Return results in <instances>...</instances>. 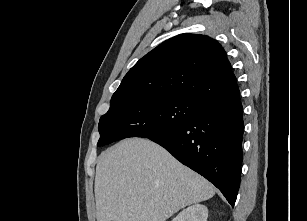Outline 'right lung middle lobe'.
<instances>
[{
	"label": "right lung middle lobe",
	"mask_w": 307,
	"mask_h": 221,
	"mask_svg": "<svg viewBox=\"0 0 307 221\" xmlns=\"http://www.w3.org/2000/svg\"><path fill=\"white\" fill-rule=\"evenodd\" d=\"M202 106L184 99L139 96L110 105L101 116L97 146L127 137L149 138L169 132L190 121Z\"/></svg>",
	"instance_id": "right-lung-middle-lobe-1"
}]
</instances>
